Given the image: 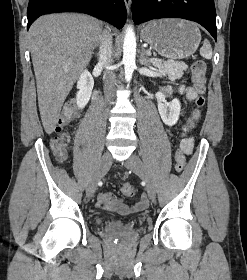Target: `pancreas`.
Segmentation results:
<instances>
[{
	"instance_id": "obj_1",
	"label": "pancreas",
	"mask_w": 247,
	"mask_h": 280,
	"mask_svg": "<svg viewBox=\"0 0 247 280\" xmlns=\"http://www.w3.org/2000/svg\"><path fill=\"white\" fill-rule=\"evenodd\" d=\"M153 65L157 68L159 76L168 75L171 81L180 79L183 72L188 68L185 63L175 61L153 62Z\"/></svg>"
}]
</instances>
